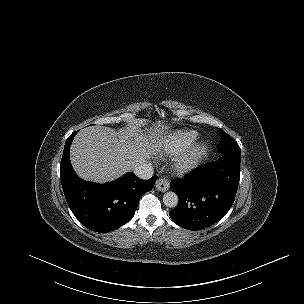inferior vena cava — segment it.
Here are the masks:
<instances>
[{
    "instance_id": "inferior-vena-cava-1",
    "label": "inferior vena cava",
    "mask_w": 304,
    "mask_h": 304,
    "mask_svg": "<svg viewBox=\"0 0 304 304\" xmlns=\"http://www.w3.org/2000/svg\"><path fill=\"white\" fill-rule=\"evenodd\" d=\"M153 171L152 164L148 162H142L133 168V173L141 179L151 178Z\"/></svg>"
}]
</instances>
